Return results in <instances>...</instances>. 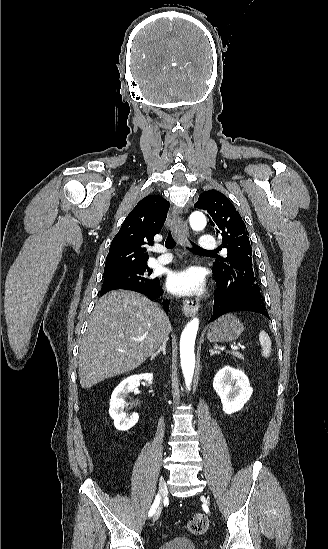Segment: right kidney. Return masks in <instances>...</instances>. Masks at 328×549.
Wrapping results in <instances>:
<instances>
[{
	"label": "right kidney",
	"mask_w": 328,
	"mask_h": 549,
	"mask_svg": "<svg viewBox=\"0 0 328 549\" xmlns=\"http://www.w3.org/2000/svg\"><path fill=\"white\" fill-rule=\"evenodd\" d=\"M147 381L148 385H151L153 381L152 373H144V375H131L124 381H121L120 385L114 389L110 399L109 415L114 419V425L119 431H128L131 427L136 425L139 415L133 413L131 417H127L124 413V407H126L125 397L128 393H131L133 389L139 387L140 381Z\"/></svg>",
	"instance_id": "right-kidney-1"
}]
</instances>
